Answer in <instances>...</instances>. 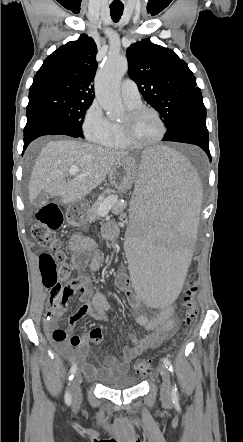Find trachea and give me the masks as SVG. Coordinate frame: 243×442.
<instances>
[{
    "mask_svg": "<svg viewBox=\"0 0 243 442\" xmlns=\"http://www.w3.org/2000/svg\"><path fill=\"white\" fill-rule=\"evenodd\" d=\"M124 6H110L111 18L114 22H118L123 14Z\"/></svg>",
    "mask_w": 243,
    "mask_h": 442,
    "instance_id": "3493384b",
    "label": "trachea"
}]
</instances>
